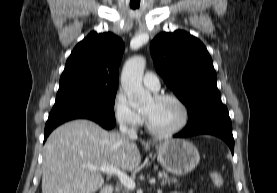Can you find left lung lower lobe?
Segmentation results:
<instances>
[{"label":"left lung lower lobe","mask_w":277,"mask_h":193,"mask_svg":"<svg viewBox=\"0 0 277 193\" xmlns=\"http://www.w3.org/2000/svg\"><path fill=\"white\" fill-rule=\"evenodd\" d=\"M198 134L215 135L223 139L234 154L232 124L226 106H219L203 111L196 118L188 121L186 128L175 137L185 138Z\"/></svg>","instance_id":"1"}]
</instances>
